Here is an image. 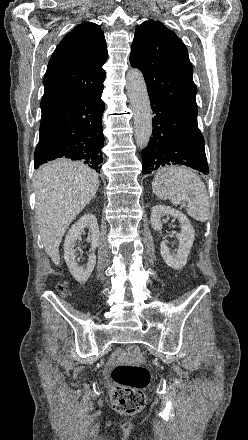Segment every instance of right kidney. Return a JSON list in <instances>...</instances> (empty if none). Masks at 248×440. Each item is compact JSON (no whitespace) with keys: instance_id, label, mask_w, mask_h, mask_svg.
<instances>
[{"instance_id":"right-kidney-1","label":"right kidney","mask_w":248,"mask_h":440,"mask_svg":"<svg viewBox=\"0 0 248 440\" xmlns=\"http://www.w3.org/2000/svg\"><path fill=\"white\" fill-rule=\"evenodd\" d=\"M84 228L89 229L88 237L91 239L92 253L89 255L86 267L82 268L75 260L74 246ZM99 237L100 232L97 219L95 215L92 214H85L82 216L74 225H72L66 235L64 242V258L69 271L79 283H86L95 267L96 255L94 251L98 247Z\"/></svg>"}]
</instances>
